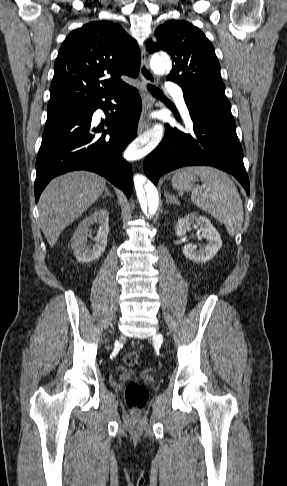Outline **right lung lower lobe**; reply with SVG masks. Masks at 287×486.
I'll list each match as a JSON object with an SVG mask.
<instances>
[{
    "mask_svg": "<svg viewBox=\"0 0 287 486\" xmlns=\"http://www.w3.org/2000/svg\"><path fill=\"white\" fill-rule=\"evenodd\" d=\"M98 108L108 119L95 127L91 121ZM108 110L112 113L108 114ZM141 110L138 91L127 85L93 99L81 106L79 112L46 121L36 160V202L52 178L73 170L96 172L130 197L133 190L131 166L121 158V153L136 137ZM103 125L108 127L107 131L102 129ZM101 131L102 134L97 135Z\"/></svg>",
    "mask_w": 287,
    "mask_h": 486,
    "instance_id": "right-lung-lower-lobe-1",
    "label": "right lung lower lobe"
}]
</instances>
